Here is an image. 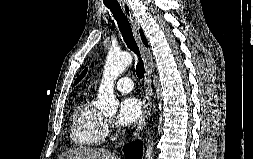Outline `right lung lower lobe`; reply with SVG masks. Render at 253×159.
<instances>
[{"label":"right lung lower lobe","instance_id":"obj_1","mask_svg":"<svg viewBox=\"0 0 253 159\" xmlns=\"http://www.w3.org/2000/svg\"><path fill=\"white\" fill-rule=\"evenodd\" d=\"M142 152L141 141H134L124 146V154L126 159H141Z\"/></svg>","mask_w":253,"mask_h":159}]
</instances>
